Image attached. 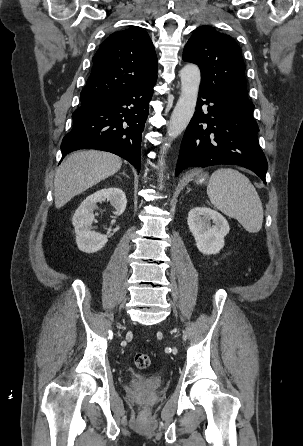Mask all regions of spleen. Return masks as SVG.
I'll list each match as a JSON object with an SVG mask.
<instances>
[{
  "label": "spleen",
  "instance_id": "1",
  "mask_svg": "<svg viewBox=\"0 0 303 446\" xmlns=\"http://www.w3.org/2000/svg\"><path fill=\"white\" fill-rule=\"evenodd\" d=\"M207 194L218 210L237 219L248 232L261 230L262 203L255 187L245 175L232 168H219L209 179Z\"/></svg>",
  "mask_w": 303,
  "mask_h": 446
}]
</instances>
